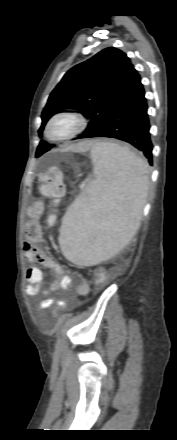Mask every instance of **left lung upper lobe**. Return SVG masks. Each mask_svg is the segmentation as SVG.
Instances as JSON below:
<instances>
[{"mask_svg": "<svg viewBox=\"0 0 177 440\" xmlns=\"http://www.w3.org/2000/svg\"><path fill=\"white\" fill-rule=\"evenodd\" d=\"M141 78L130 59L121 50L109 47L92 58L71 68L52 91L42 112V134L48 119L63 109H76L89 118L84 134L100 128L110 116L129 98ZM53 145L41 141L36 157L50 150Z\"/></svg>", "mask_w": 177, "mask_h": 440, "instance_id": "1", "label": "left lung upper lobe"}]
</instances>
